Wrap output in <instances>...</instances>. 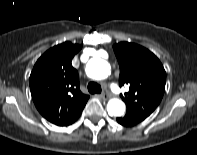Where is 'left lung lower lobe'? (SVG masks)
<instances>
[{
  "instance_id": "left-lung-lower-lobe-1",
  "label": "left lung lower lobe",
  "mask_w": 197,
  "mask_h": 155,
  "mask_svg": "<svg viewBox=\"0 0 197 155\" xmlns=\"http://www.w3.org/2000/svg\"><path fill=\"white\" fill-rule=\"evenodd\" d=\"M117 122L123 126H134L141 121L126 114L124 117L117 118Z\"/></svg>"
}]
</instances>
